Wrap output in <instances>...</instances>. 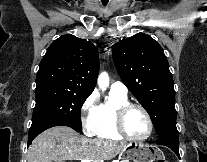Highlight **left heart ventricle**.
<instances>
[{"instance_id":"left-heart-ventricle-1","label":"left heart ventricle","mask_w":207,"mask_h":162,"mask_svg":"<svg viewBox=\"0 0 207 162\" xmlns=\"http://www.w3.org/2000/svg\"><path fill=\"white\" fill-rule=\"evenodd\" d=\"M125 129L130 136L135 138L146 135L148 122L143 112L139 109H132L126 116Z\"/></svg>"}]
</instances>
